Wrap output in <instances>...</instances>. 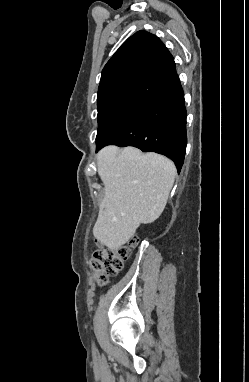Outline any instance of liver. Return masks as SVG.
<instances>
[{"label":"liver","mask_w":249,"mask_h":382,"mask_svg":"<svg viewBox=\"0 0 249 382\" xmlns=\"http://www.w3.org/2000/svg\"><path fill=\"white\" fill-rule=\"evenodd\" d=\"M97 167L105 195L93 235L116 250L134 236L140 224L152 223L161 215L176 167L162 155L116 146H107L98 153Z\"/></svg>","instance_id":"obj_1"}]
</instances>
